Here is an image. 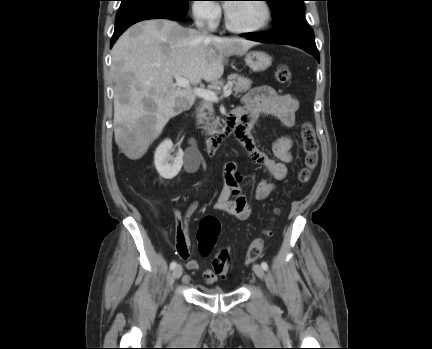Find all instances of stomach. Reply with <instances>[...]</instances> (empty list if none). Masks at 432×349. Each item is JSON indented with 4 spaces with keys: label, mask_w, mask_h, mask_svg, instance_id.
I'll use <instances>...</instances> for the list:
<instances>
[{
    "label": "stomach",
    "mask_w": 432,
    "mask_h": 349,
    "mask_svg": "<svg viewBox=\"0 0 432 349\" xmlns=\"http://www.w3.org/2000/svg\"><path fill=\"white\" fill-rule=\"evenodd\" d=\"M245 62L253 71L262 72L271 66L272 58L265 52L252 51L245 55Z\"/></svg>",
    "instance_id": "0dacf381"
}]
</instances>
